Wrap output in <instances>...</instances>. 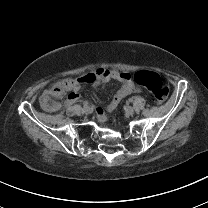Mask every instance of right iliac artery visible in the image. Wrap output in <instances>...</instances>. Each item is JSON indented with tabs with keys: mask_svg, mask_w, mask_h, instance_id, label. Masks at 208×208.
I'll use <instances>...</instances> for the list:
<instances>
[{
	"mask_svg": "<svg viewBox=\"0 0 208 208\" xmlns=\"http://www.w3.org/2000/svg\"><path fill=\"white\" fill-rule=\"evenodd\" d=\"M88 106H89V103H88L87 101H85V102L83 103V107L86 108V107H88Z\"/></svg>",
	"mask_w": 208,
	"mask_h": 208,
	"instance_id": "right-iliac-artery-1",
	"label": "right iliac artery"
}]
</instances>
